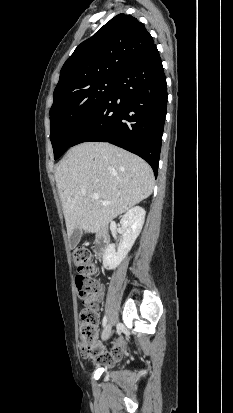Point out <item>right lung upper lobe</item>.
<instances>
[{"instance_id": "right-lung-upper-lobe-1", "label": "right lung upper lobe", "mask_w": 233, "mask_h": 413, "mask_svg": "<svg viewBox=\"0 0 233 413\" xmlns=\"http://www.w3.org/2000/svg\"><path fill=\"white\" fill-rule=\"evenodd\" d=\"M153 44L152 36L136 18L125 14L115 16L78 45L66 60L54 90V101L97 80L115 78Z\"/></svg>"}]
</instances>
